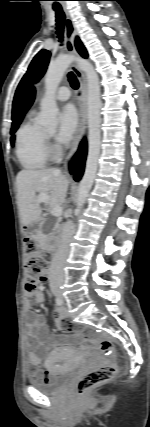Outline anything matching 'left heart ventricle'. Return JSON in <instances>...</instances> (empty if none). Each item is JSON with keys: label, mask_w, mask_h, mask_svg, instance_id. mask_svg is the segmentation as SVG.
<instances>
[{"label": "left heart ventricle", "mask_w": 150, "mask_h": 427, "mask_svg": "<svg viewBox=\"0 0 150 427\" xmlns=\"http://www.w3.org/2000/svg\"><path fill=\"white\" fill-rule=\"evenodd\" d=\"M47 133H48L49 135H52V134L54 133V131H53V130H49Z\"/></svg>", "instance_id": "1"}]
</instances>
